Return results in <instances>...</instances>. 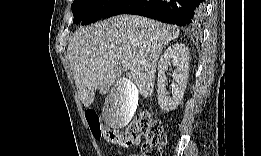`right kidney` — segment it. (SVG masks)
<instances>
[{
	"mask_svg": "<svg viewBox=\"0 0 261 156\" xmlns=\"http://www.w3.org/2000/svg\"><path fill=\"white\" fill-rule=\"evenodd\" d=\"M172 65L175 69L172 72L174 86L172 96L166 92V72L168 66ZM189 71V50L183 43H175L169 46L161 56L158 63V84L157 97L158 103L163 111L174 110L183 98L186 90ZM119 82V86L121 85Z\"/></svg>",
	"mask_w": 261,
	"mask_h": 156,
	"instance_id": "1",
	"label": "right kidney"
}]
</instances>
